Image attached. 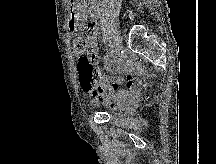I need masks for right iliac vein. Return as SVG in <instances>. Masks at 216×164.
Here are the masks:
<instances>
[{"mask_svg":"<svg viewBox=\"0 0 216 164\" xmlns=\"http://www.w3.org/2000/svg\"><path fill=\"white\" fill-rule=\"evenodd\" d=\"M114 49H115L116 55L118 56L122 49V42L118 37L114 38Z\"/></svg>","mask_w":216,"mask_h":164,"instance_id":"obj_1","label":"right iliac vein"}]
</instances>
